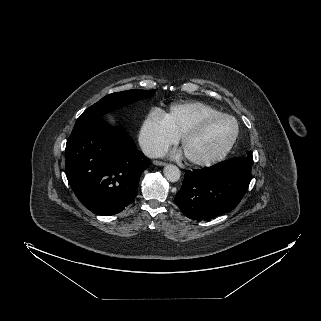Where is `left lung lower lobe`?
Returning a JSON list of instances; mask_svg holds the SVG:
<instances>
[{
	"label": "left lung lower lobe",
	"instance_id": "1",
	"mask_svg": "<svg viewBox=\"0 0 321 321\" xmlns=\"http://www.w3.org/2000/svg\"><path fill=\"white\" fill-rule=\"evenodd\" d=\"M252 164L253 157H234L186 171L175 204L193 220H209L233 210L248 189Z\"/></svg>",
	"mask_w": 321,
	"mask_h": 321
}]
</instances>
